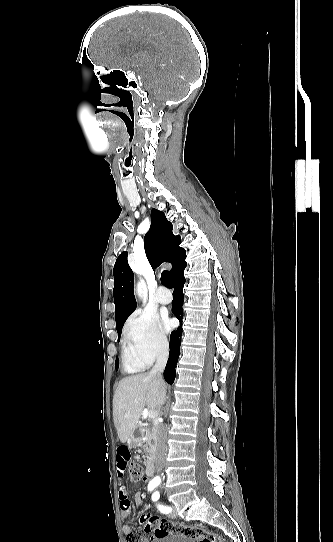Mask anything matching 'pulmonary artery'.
<instances>
[{"label": "pulmonary artery", "mask_w": 333, "mask_h": 542, "mask_svg": "<svg viewBox=\"0 0 333 542\" xmlns=\"http://www.w3.org/2000/svg\"><path fill=\"white\" fill-rule=\"evenodd\" d=\"M170 295H171V292L169 289H167L165 285H160L158 287L157 298L160 304H163V305L170 304L171 303Z\"/></svg>", "instance_id": "pulmonary-artery-1"}]
</instances>
